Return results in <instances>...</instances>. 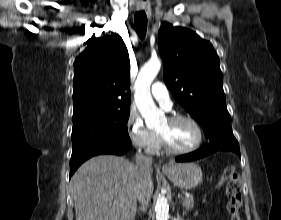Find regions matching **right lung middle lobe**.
Listing matches in <instances>:
<instances>
[{"label":"right lung middle lobe","instance_id":"1","mask_svg":"<svg viewBox=\"0 0 281 220\" xmlns=\"http://www.w3.org/2000/svg\"><path fill=\"white\" fill-rule=\"evenodd\" d=\"M129 109L113 110L73 118V151L83 146L126 144L131 145L127 122Z\"/></svg>","mask_w":281,"mask_h":220}]
</instances>
